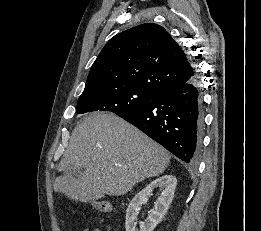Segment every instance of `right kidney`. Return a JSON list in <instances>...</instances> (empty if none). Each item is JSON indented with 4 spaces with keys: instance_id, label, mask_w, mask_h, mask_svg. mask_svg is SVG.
Wrapping results in <instances>:
<instances>
[{
    "instance_id": "obj_1",
    "label": "right kidney",
    "mask_w": 261,
    "mask_h": 231,
    "mask_svg": "<svg viewBox=\"0 0 261 231\" xmlns=\"http://www.w3.org/2000/svg\"><path fill=\"white\" fill-rule=\"evenodd\" d=\"M176 184L177 179L173 175L167 174L155 179L142 191L136 194L126 210V231H153L169 209L174 197ZM156 187L161 188L162 194L156 200L155 207L145 222L140 223V229L138 230V228H136V221L140 206L148 201V197L152 195V192Z\"/></svg>"
}]
</instances>
